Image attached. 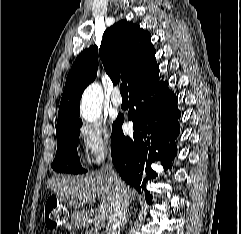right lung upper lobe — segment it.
<instances>
[{
  "instance_id": "1",
  "label": "right lung upper lobe",
  "mask_w": 241,
  "mask_h": 234,
  "mask_svg": "<svg viewBox=\"0 0 241 234\" xmlns=\"http://www.w3.org/2000/svg\"><path fill=\"white\" fill-rule=\"evenodd\" d=\"M150 39L148 31L124 20L105 31L99 56L114 84L121 78L128 82L130 91L158 68L156 51ZM97 61L98 47L91 46L72 65L59 106L56 132L82 122L79 119V102L84 89L97 76Z\"/></svg>"
}]
</instances>
